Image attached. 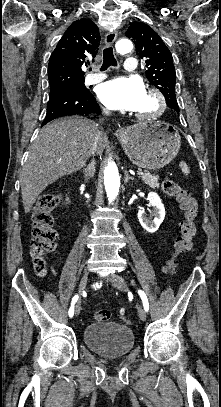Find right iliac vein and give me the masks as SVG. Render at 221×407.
<instances>
[{"instance_id":"63e3f726","label":"right iliac vein","mask_w":221,"mask_h":407,"mask_svg":"<svg viewBox=\"0 0 221 407\" xmlns=\"http://www.w3.org/2000/svg\"><path fill=\"white\" fill-rule=\"evenodd\" d=\"M88 278H89V272L86 271L79 283V293L81 294L82 292H84V290L86 289L87 283H88ZM81 311V301L79 300L77 305H76V310L75 313L76 315H78Z\"/></svg>"}]
</instances>
